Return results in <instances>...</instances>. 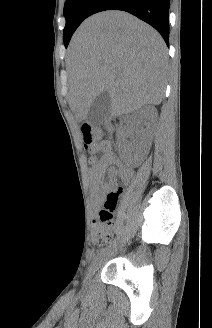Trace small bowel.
<instances>
[{
	"label": "small bowel",
	"mask_w": 212,
	"mask_h": 328,
	"mask_svg": "<svg viewBox=\"0 0 212 328\" xmlns=\"http://www.w3.org/2000/svg\"><path fill=\"white\" fill-rule=\"evenodd\" d=\"M101 151L100 157L93 155L89 158L91 165L90 180L95 186L94 200L99 203L106 192L116 189V178L128 181L132 177V170L123 165L107 141H102L93 148V152ZM98 230V220L95 221Z\"/></svg>",
	"instance_id": "c3829d8e"
}]
</instances>
